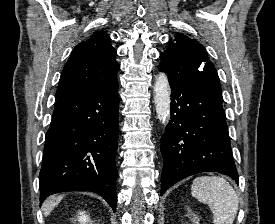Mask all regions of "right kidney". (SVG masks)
I'll use <instances>...</instances> for the list:
<instances>
[{
	"mask_svg": "<svg viewBox=\"0 0 275 224\" xmlns=\"http://www.w3.org/2000/svg\"><path fill=\"white\" fill-rule=\"evenodd\" d=\"M78 220L81 224H85L90 221L89 217L85 214V212L79 213Z\"/></svg>",
	"mask_w": 275,
	"mask_h": 224,
	"instance_id": "obj_1",
	"label": "right kidney"
}]
</instances>
